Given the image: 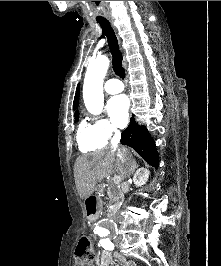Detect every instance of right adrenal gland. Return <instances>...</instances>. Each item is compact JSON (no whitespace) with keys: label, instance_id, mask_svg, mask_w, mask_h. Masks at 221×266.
Returning a JSON list of instances; mask_svg holds the SVG:
<instances>
[{"label":"right adrenal gland","instance_id":"obj_1","mask_svg":"<svg viewBox=\"0 0 221 266\" xmlns=\"http://www.w3.org/2000/svg\"><path fill=\"white\" fill-rule=\"evenodd\" d=\"M137 168H138V165L135 163V167H134V169H133V171H132V173H131V174H133V173H134V171H135Z\"/></svg>","mask_w":221,"mask_h":266}]
</instances>
